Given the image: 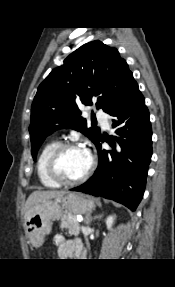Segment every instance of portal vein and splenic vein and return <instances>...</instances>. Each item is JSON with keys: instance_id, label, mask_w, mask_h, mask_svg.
<instances>
[{"instance_id": "18ae733b", "label": "portal vein and splenic vein", "mask_w": 175, "mask_h": 287, "mask_svg": "<svg viewBox=\"0 0 175 287\" xmlns=\"http://www.w3.org/2000/svg\"><path fill=\"white\" fill-rule=\"evenodd\" d=\"M76 220H77L78 222H81L83 219H82L81 217H78Z\"/></svg>"}]
</instances>
